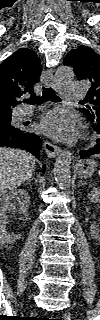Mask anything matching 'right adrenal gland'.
<instances>
[{
  "mask_svg": "<svg viewBox=\"0 0 100 320\" xmlns=\"http://www.w3.org/2000/svg\"><path fill=\"white\" fill-rule=\"evenodd\" d=\"M31 180H34L35 183L37 184V180H36V178H35V175H32V176L27 180V182H30Z\"/></svg>",
  "mask_w": 100,
  "mask_h": 320,
  "instance_id": "2a0ac1e0",
  "label": "right adrenal gland"
}]
</instances>
